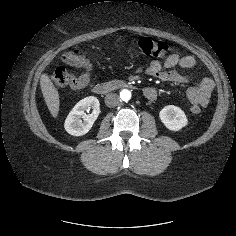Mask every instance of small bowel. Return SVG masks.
<instances>
[{"label":"small bowel","instance_id":"small-bowel-1","mask_svg":"<svg viewBox=\"0 0 236 236\" xmlns=\"http://www.w3.org/2000/svg\"><path fill=\"white\" fill-rule=\"evenodd\" d=\"M196 64L197 62L192 56H182L179 53H173L169 55L164 62L152 60L145 66H138L137 70L144 71L146 74L162 81L175 84H185L188 82V78L176 71L174 68L179 67L182 69H192ZM146 89L154 92L153 96L148 97L149 99L156 97V90L154 88L148 87ZM213 89L214 83L212 79L209 77H202L197 85L191 86L186 90V96L192 105L206 107L210 102Z\"/></svg>","mask_w":236,"mask_h":236}]
</instances>
